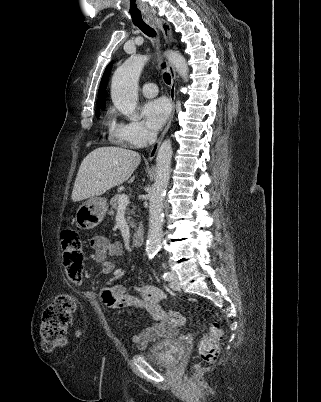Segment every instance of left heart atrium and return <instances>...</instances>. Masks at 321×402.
Returning <instances> with one entry per match:
<instances>
[{"instance_id":"1","label":"left heart atrium","mask_w":321,"mask_h":402,"mask_svg":"<svg viewBox=\"0 0 321 402\" xmlns=\"http://www.w3.org/2000/svg\"><path fill=\"white\" fill-rule=\"evenodd\" d=\"M144 120L153 132L159 130L170 114V105L164 98L148 101L142 109Z\"/></svg>"}]
</instances>
